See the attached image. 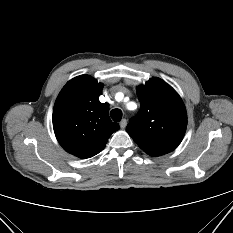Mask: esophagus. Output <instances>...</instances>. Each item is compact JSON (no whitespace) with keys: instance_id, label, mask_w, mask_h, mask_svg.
<instances>
[{"instance_id":"1","label":"esophagus","mask_w":233,"mask_h":233,"mask_svg":"<svg viewBox=\"0 0 233 233\" xmlns=\"http://www.w3.org/2000/svg\"><path fill=\"white\" fill-rule=\"evenodd\" d=\"M126 125H127V120H126V119H122V120L120 121V127H121L122 129H124V128L126 127Z\"/></svg>"}]
</instances>
